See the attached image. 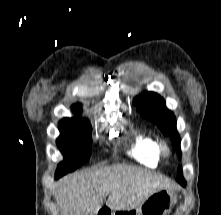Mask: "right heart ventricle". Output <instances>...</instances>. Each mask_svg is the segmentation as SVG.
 I'll return each mask as SVG.
<instances>
[{"instance_id": "right-heart-ventricle-1", "label": "right heart ventricle", "mask_w": 221, "mask_h": 215, "mask_svg": "<svg viewBox=\"0 0 221 215\" xmlns=\"http://www.w3.org/2000/svg\"><path fill=\"white\" fill-rule=\"evenodd\" d=\"M127 154L145 166H155L157 163L156 144L149 133L134 129L126 143Z\"/></svg>"}]
</instances>
